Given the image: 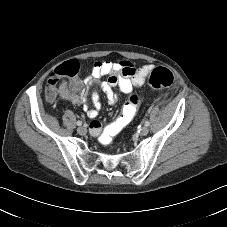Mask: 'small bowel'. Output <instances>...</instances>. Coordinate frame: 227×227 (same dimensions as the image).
<instances>
[{
    "instance_id": "c3829d8e",
    "label": "small bowel",
    "mask_w": 227,
    "mask_h": 227,
    "mask_svg": "<svg viewBox=\"0 0 227 227\" xmlns=\"http://www.w3.org/2000/svg\"><path fill=\"white\" fill-rule=\"evenodd\" d=\"M151 70L152 65L135 67L127 60L96 61L89 75L83 79L78 95H72L70 90L64 87L60 88V93L65 99L83 108L87 116L93 119L89 126L90 133L94 136L100 135L109 126H103L98 120H95L101 109L99 92L102 91L106 94L110 104H115L117 102V95L114 92L116 87L123 93H130L133 88L141 87L145 83ZM132 71H134L133 74L130 73ZM103 77H107V79L103 80Z\"/></svg>"
}]
</instances>
